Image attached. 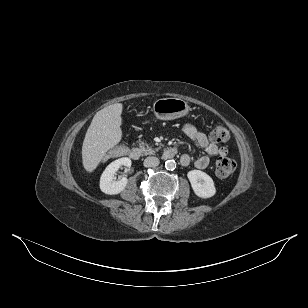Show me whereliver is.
<instances>
[{
	"label": "liver",
	"instance_id": "liver-1",
	"mask_svg": "<svg viewBox=\"0 0 308 308\" xmlns=\"http://www.w3.org/2000/svg\"><path fill=\"white\" fill-rule=\"evenodd\" d=\"M122 109L121 103H115L98 111L93 117L82 146V163L87 172H93L105 153L120 142Z\"/></svg>",
	"mask_w": 308,
	"mask_h": 308
}]
</instances>
